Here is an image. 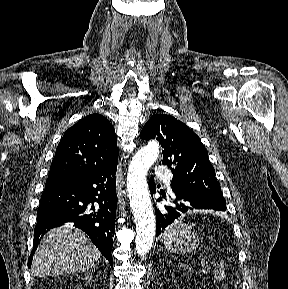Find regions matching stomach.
Segmentation results:
<instances>
[{"label":"stomach","mask_w":288,"mask_h":289,"mask_svg":"<svg viewBox=\"0 0 288 289\" xmlns=\"http://www.w3.org/2000/svg\"><path fill=\"white\" fill-rule=\"evenodd\" d=\"M198 245L199 237L192 231L178 236L170 242H164L165 249L170 253H191L197 249Z\"/></svg>","instance_id":"obj_1"}]
</instances>
